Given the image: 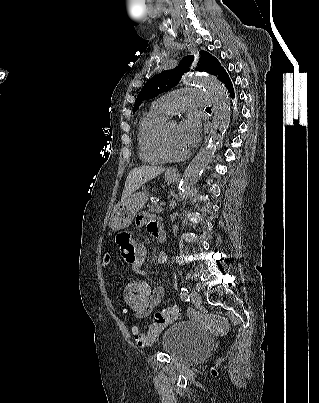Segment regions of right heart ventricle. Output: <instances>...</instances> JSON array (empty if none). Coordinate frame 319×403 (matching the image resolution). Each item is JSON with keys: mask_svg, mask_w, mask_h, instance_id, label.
Here are the masks:
<instances>
[{"mask_svg": "<svg viewBox=\"0 0 319 403\" xmlns=\"http://www.w3.org/2000/svg\"><path fill=\"white\" fill-rule=\"evenodd\" d=\"M169 116L154 103L141 117L138 124L137 140L139 156L145 163L160 164L165 161L157 151L156 136L161 125Z\"/></svg>", "mask_w": 319, "mask_h": 403, "instance_id": "e07e8e85", "label": "right heart ventricle"}]
</instances>
